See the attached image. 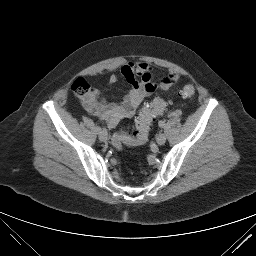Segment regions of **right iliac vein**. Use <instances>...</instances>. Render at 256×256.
<instances>
[{
    "label": "right iliac vein",
    "mask_w": 256,
    "mask_h": 256,
    "mask_svg": "<svg viewBox=\"0 0 256 256\" xmlns=\"http://www.w3.org/2000/svg\"><path fill=\"white\" fill-rule=\"evenodd\" d=\"M108 138L107 132L106 131H101L99 133V139L103 142H106Z\"/></svg>",
    "instance_id": "1"
}]
</instances>
